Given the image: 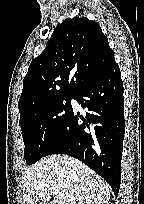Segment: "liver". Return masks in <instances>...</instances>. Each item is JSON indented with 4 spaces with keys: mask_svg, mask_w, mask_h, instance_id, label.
<instances>
[{
    "mask_svg": "<svg viewBox=\"0 0 144 204\" xmlns=\"http://www.w3.org/2000/svg\"><path fill=\"white\" fill-rule=\"evenodd\" d=\"M23 203L36 204L55 195L48 204H107L110 187L81 161L68 155H52L27 167L22 177Z\"/></svg>",
    "mask_w": 144,
    "mask_h": 204,
    "instance_id": "obj_1",
    "label": "liver"
}]
</instances>
